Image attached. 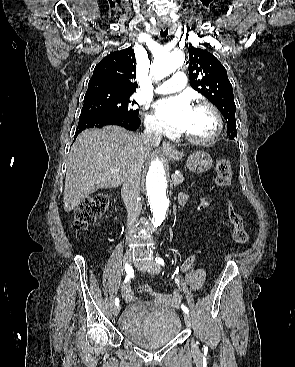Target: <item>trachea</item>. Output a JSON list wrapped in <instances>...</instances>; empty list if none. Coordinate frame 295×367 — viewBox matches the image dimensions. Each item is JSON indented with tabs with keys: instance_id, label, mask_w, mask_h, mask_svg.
Listing matches in <instances>:
<instances>
[{
	"instance_id": "1",
	"label": "trachea",
	"mask_w": 295,
	"mask_h": 367,
	"mask_svg": "<svg viewBox=\"0 0 295 367\" xmlns=\"http://www.w3.org/2000/svg\"><path fill=\"white\" fill-rule=\"evenodd\" d=\"M167 34H168V28H166V29H161V32H160V35H161V37H165V36H167Z\"/></svg>"
}]
</instances>
